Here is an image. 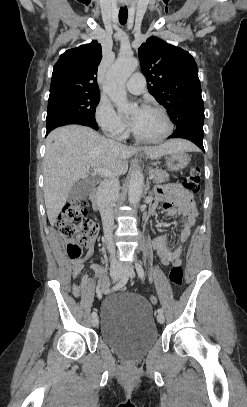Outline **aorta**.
Here are the masks:
<instances>
[{
    "label": "aorta",
    "mask_w": 247,
    "mask_h": 407,
    "mask_svg": "<svg viewBox=\"0 0 247 407\" xmlns=\"http://www.w3.org/2000/svg\"><path fill=\"white\" fill-rule=\"evenodd\" d=\"M138 64V60L134 57L120 56L107 72L104 91L115 104L119 113L127 114L133 109V105L127 100L125 83ZM143 185L144 178L142 173L139 170L132 171L128 190L130 205L136 206L139 203Z\"/></svg>",
    "instance_id": "aorta-1"
}]
</instances>
